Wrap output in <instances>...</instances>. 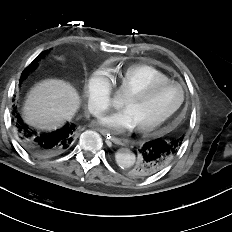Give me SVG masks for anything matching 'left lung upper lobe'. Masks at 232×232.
<instances>
[{
    "label": "left lung upper lobe",
    "instance_id": "5c2ea615",
    "mask_svg": "<svg viewBox=\"0 0 232 232\" xmlns=\"http://www.w3.org/2000/svg\"><path fill=\"white\" fill-rule=\"evenodd\" d=\"M166 139L169 140V141H174V142H175V147H176V148H179V147H180V145H181V143H182V140H183L182 137H180V138H178V137H173V138H166ZM135 166H136V164H135L134 166H132V167H130V168L127 169V173H128L131 177H133L131 172H132V169H133Z\"/></svg>",
    "mask_w": 232,
    "mask_h": 232
}]
</instances>
